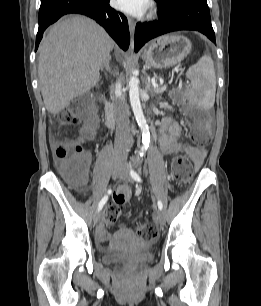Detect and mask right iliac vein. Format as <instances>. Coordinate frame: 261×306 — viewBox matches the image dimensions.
I'll list each match as a JSON object with an SVG mask.
<instances>
[{
  "mask_svg": "<svg viewBox=\"0 0 261 306\" xmlns=\"http://www.w3.org/2000/svg\"><path fill=\"white\" fill-rule=\"evenodd\" d=\"M120 165L118 163H115L112 167H111V175H112V178L115 179L118 177L119 175V172H120ZM101 218V212L98 211L94 214V217H93V220L95 223H98L99 220Z\"/></svg>",
  "mask_w": 261,
  "mask_h": 306,
  "instance_id": "obj_1",
  "label": "right iliac vein"
}]
</instances>
